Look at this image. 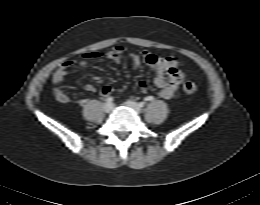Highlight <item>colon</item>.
Returning a JSON list of instances; mask_svg holds the SVG:
<instances>
[{"label": "colon", "instance_id": "colon-1", "mask_svg": "<svg viewBox=\"0 0 260 205\" xmlns=\"http://www.w3.org/2000/svg\"><path fill=\"white\" fill-rule=\"evenodd\" d=\"M183 90L189 94L195 93L197 91V85L193 82H186L183 84Z\"/></svg>", "mask_w": 260, "mask_h": 205}]
</instances>
